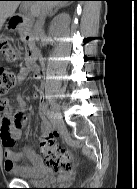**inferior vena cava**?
I'll return each mask as SVG.
<instances>
[{"mask_svg": "<svg viewBox=\"0 0 137 189\" xmlns=\"http://www.w3.org/2000/svg\"><path fill=\"white\" fill-rule=\"evenodd\" d=\"M47 13H48L47 10L42 11L38 17V20L35 23L33 33L36 38H38L39 36L43 34V25H44V21H45V17Z\"/></svg>", "mask_w": 137, "mask_h": 189, "instance_id": "602c4592", "label": "inferior vena cava"}]
</instances>
